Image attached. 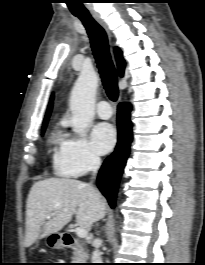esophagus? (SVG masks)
<instances>
[{
	"instance_id": "esophagus-1",
	"label": "esophagus",
	"mask_w": 205,
	"mask_h": 265,
	"mask_svg": "<svg viewBox=\"0 0 205 265\" xmlns=\"http://www.w3.org/2000/svg\"><path fill=\"white\" fill-rule=\"evenodd\" d=\"M93 18L104 28V30L107 32L109 39L111 40V33L110 30L105 23V21L100 17V15L96 12L92 13Z\"/></svg>"
}]
</instances>
